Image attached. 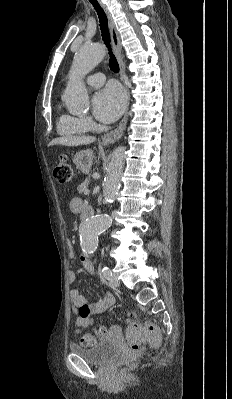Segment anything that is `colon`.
<instances>
[{"label": "colon", "instance_id": "colon-1", "mask_svg": "<svg viewBox=\"0 0 232 399\" xmlns=\"http://www.w3.org/2000/svg\"><path fill=\"white\" fill-rule=\"evenodd\" d=\"M55 179L60 180V185H71L73 180V166H70L69 160H56V174ZM130 331V340H120L121 353H144L146 330L143 326H139L136 317H130L126 323ZM146 328H155V321H146ZM79 345L82 347H97L95 337L87 334H79ZM129 365H139V358H129Z\"/></svg>", "mask_w": 232, "mask_h": 399}]
</instances>
